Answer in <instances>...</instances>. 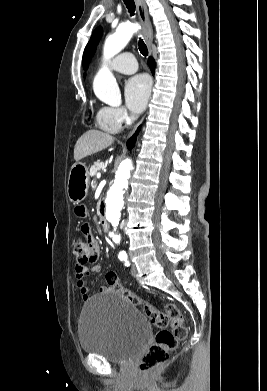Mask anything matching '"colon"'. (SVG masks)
I'll return each mask as SVG.
<instances>
[{"label": "colon", "mask_w": 267, "mask_h": 391, "mask_svg": "<svg viewBox=\"0 0 267 391\" xmlns=\"http://www.w3.org/2000/svg\"><path fill=\"white\" fill-rule=\"evenodd\" d=\"M73 254L77 266H88L97 259L98 248L94 239L77 238L73 243ZM107 288L129 301L131 304L141 306L145 315L158 329L153 344L143 355L139 370L143 375H149L164 365L176 349L178 343L187 335L183 316L180 310L173 304L166 305L163 311L154 307L151 303L124 288L115 271L106 274ZM171 326L169 330L167 327Z\"/></svg>", "instance_id": "obj_1"}]
</instances>
